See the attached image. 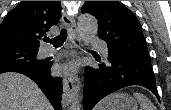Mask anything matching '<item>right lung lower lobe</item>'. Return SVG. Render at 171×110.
Returning <instances> with one entry per match:
<instances>
[{
    "label": "right lung lower lobe",
    "instance_id": "obj_1",
    "mask_svg": "<svg viewBox=\"0 0 171 110\" xmlns=\"http://www.w3.org/2000/svg\"><path fill=\"white\" fill-rule=\"evenodd\" d=\"M51 66L52 63L48 62L38 68L22 67L9 70V72H18L31 78L35 83L38 84L40 89L51 102L54 109L61 110L60 101L62 92V80L61 78H54L51 76Z\"/></svg>",
    "mask_w": 171,
    "mask_h": 110
}]
</instances>
